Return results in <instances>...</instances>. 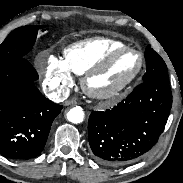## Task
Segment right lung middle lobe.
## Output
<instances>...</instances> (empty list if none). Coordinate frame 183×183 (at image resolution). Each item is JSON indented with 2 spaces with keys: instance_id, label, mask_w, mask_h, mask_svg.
<instances>
[{
  "instance_id": "1",
  "label": "right lung middle lobe",
  "mask_w": 183,
  "mask_h": 183,
  "mask_svg": "<svg viewBox=\"0 0 183 183\" xmlns=\"http://www.w3.org/2000/svg\"><path fill=\"white\" fill-rule=\"evenodd\" d=\"M44 31L43 26H23L12 31L0 44V63L26 57L37 36Z\"/></svg>"
}]
</instances>
